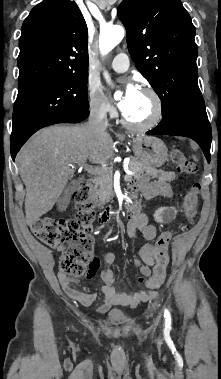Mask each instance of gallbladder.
Returning <instances> with one entry per match:
<instances>
[{
    "label": "gallbladder",
    "instance_id": "1",
    "mask_svg": "<svg viewBox=\"0 0 221 379\" xmlns=\"http://www.w3.org/2000/svg\"><path fill=\"white\" fill-rule=\"evenodd\" d=\"M77 188H78V183L75 181L70 182L66 186V188L64 189V191L60 195L59 199L57 200V208L59 211H64L67 208V206L70 202V198H71L73 192Z\"/></svg>",
    "mask_w": 221,
    "mask_h": 379
}]
</instances>
